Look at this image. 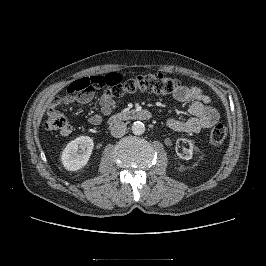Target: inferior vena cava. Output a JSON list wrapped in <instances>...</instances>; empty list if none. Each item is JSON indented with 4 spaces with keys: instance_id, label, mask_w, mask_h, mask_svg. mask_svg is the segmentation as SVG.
I'll return each instance as SVG.
<instances>
[{
    "instance_id": "602c4592",
    "label": "inferior vena cava",
    "mask_w": 266,
    "mask_h": 266,
    "mask_svg": "<svg viewBox=\"0 0 266 266\" xmlns=\"http://www.w3.org/2000/svg\"><path fill=\"white\" fill-rule=\"evenodd\" d=\"M126 129L127 126L124 122H116L111 127V135L116 138L122 137L126 133Z\"/></svg>"
}]
</instances>
